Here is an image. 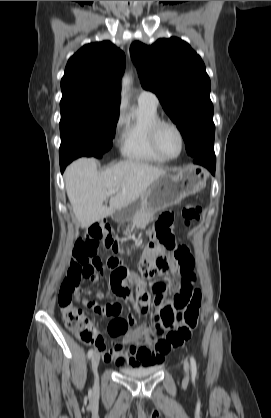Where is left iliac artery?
Listing matches in <instances>:
<instances>
[{
    "mask_svg": "<svg viewBox=\"0 0 271 418\" xmlns=\"http://www.w3.org/2000/svg\"><path fill=\"white\" fill-rule=\"evenodd\" d=\"M190 363H191L192 376H195L197 373V367H196V361L192 356L190 357Z\"/></svg>",
    "mask_w": 271,
    "mask_h": 418,
    "instance_id": "obj_1",
    "label": "left iliac artery"
}]
</instances>
